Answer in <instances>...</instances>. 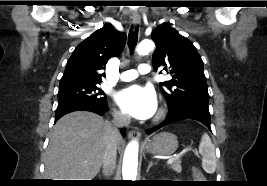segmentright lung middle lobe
<instances>
[{
  "label": "right lung middle lobe",
  "instance_id": "right-lung-middle-lobe-1",
  "mask_svg": "<svg viewBox=\"0 0 267 186\" xmlns=\"http://www.w3.org/2000/svg\"><path fill=\"white\" fill-rule=\"evenodd\" d=\"M99 84L75 83L60 85L58 91V101L66 100H89L100 103H107L104 92L98 87Z\"/></svg>",
  "mask_w": 267,
  "mask_h": 186
}]
</instances>
